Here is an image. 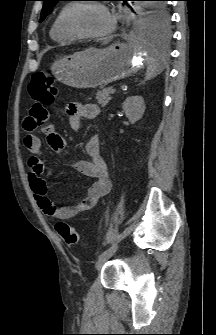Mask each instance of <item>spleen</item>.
<instances>
[{"instance_id":"spleen-1","label":"spleen","mask_w":216,"mask_h":335,"mask_svg":"<svg viewBox=\"0 0 216 335\" xmlns=\"http://www.w3.org/2000/svg\"><path fill=\"white\" fill-rule=\"evenodd\" d=\"M162 59L156 51H151L149 53V58L147 62V72L146 79H151L157 76L162 70Z\"/></svg>"}]
</instances>
